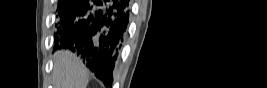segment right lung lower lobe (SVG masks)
<instances>
[{"label": "right lung lower lobe", "instance_id": "obj_1", "mask_svg": "<svg viewBox=\"0 0 267 88\" xmlns=\"http://www.w3.org/2000/svg\"><path fill=\"white\" fill-rule=\"evenodd\" d=\"M129 13V0H69L59 12V48L80 54L96 77L110 85Z\"/></svg>", "mask_w": 267, "mask_h": 88}]
</instances>
